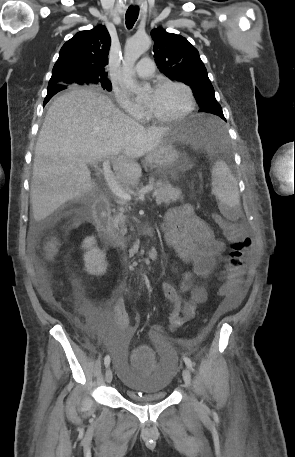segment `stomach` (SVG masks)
<instances>
[{"instance_id":"stomach-1","label":"stomach","mask_w":295,"mask_h":457,"mask_svg":"<svg viewBox=\"0 0 295 457\" xmlns=\"http://www.w3.org/2000/svg\"><path fill=\"white\" fill-rule=\"evenodd\" d=\"M210 136L208 124L200 115H194L171 129L163 136L160 144L146 156V164L157 171L175 175L183 169L182 154L179 146L205 144Z\"/></svg>"}]
</instances>
